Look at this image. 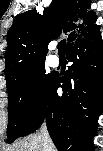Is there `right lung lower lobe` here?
Instances as JSON below:
<instances>
[{
  "label": "right lung lower lobe",
  "instance_id": "98d812e1",
  "mask_svg": "<svg viewBox=\"0 0 103 151\" xmlns=\"http://www.w3.org/2000/svg\"><path fill=\"white\" fill-rule=\"evenodd\" d=\"M97 25L67 46L73 64L67 75L55 74L41 107L23 132L33 133L42 123L58 151L92 150L93 132L103 105V48ZM62 83V85L60 84ZM61 87L62 95L57 89Z\"/></svg>",
  "mask_w": 103,
  "mask_h": 151
}]
</instances>
